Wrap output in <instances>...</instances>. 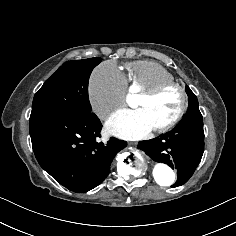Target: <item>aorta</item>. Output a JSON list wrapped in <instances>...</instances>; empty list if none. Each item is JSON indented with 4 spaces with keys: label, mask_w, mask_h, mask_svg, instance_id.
I'll use <instances>...</instances> for the list:
<instances>
[{
    "label": "aorta",
    "mask_w": 236,
    "mask_h": 236,
    "mask_svg": "<svg viewBox=\"0 0 236 236\" xmlns=\"http://www.w3.org/2000/svg\"><path fill=\"white\" fill-rule=\"evenodd\" d=\"M153 177L160 186H171L175 182L174 171L164 163H157L154 166Z\"/></svg>",
    "instance_id": "1"
}]
</instances>
